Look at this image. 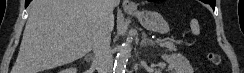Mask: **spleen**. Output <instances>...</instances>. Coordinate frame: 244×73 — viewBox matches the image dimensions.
I'll return each mask as SVG.
<instances>
[{
    "mask_svg": "<svg viewBox=\"0 0 244 73\" xmlns=\"http://www.w3.org/2000/svg\"><path fill=\"white\" fill-rule=\"evenodd\" d=\"M190 27H191V31L194 35H199L200 34V27H199V23L196 19H192L190 21Z\"/></svg>",
    "mask_w": 244,
    "mask_h": 73,
    "instance_id": "3e777b00",
    "label": "spleen"
}]
</instances>
